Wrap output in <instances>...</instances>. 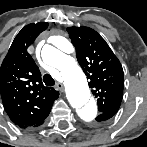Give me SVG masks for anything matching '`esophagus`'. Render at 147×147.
Instances as JSON below:
<instances>
[{"label": "esophagus", "mask_w": 147, "mask_h": 147, "mask_svg": "<svg viewBox=\"0 0 147 147\" xmlns=\"http://www.w3.org/2000/svg\"><path fill=\"white\" fill-rule=\"evenodd\" d=\"M55 87L60 90V91H63L64 90V87H63V84L61 82H57L55 84Z\"/></svg>", "instance_id": "34e87169"}]
</instances>
